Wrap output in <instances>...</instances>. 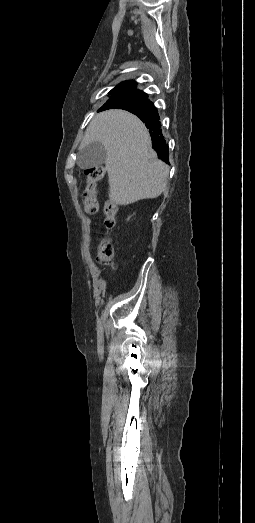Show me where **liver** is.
Returning a JSON list of instances; mask_svg holds the SVG:
<instances>
[{
  "label": "liver",
  "mask_w": 255,
  "mask_h": 523,
  "mask_svg": "<svg viewBox=\"0 0 255 523\" xmlns=\"http://www.w3.org/2000/svg\"><path fill=\"white\" fill-rule=\"evenodd\" d=\"M101 142L107 150L105 166L113 204L127 206L158 198L166 188L169 166L152 150L143 122L124 110H107L91 120L79 150Z\"/></svg>",
  "instance_id": "obj_1"
}]
</instances>
